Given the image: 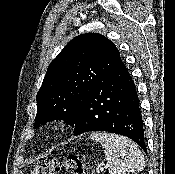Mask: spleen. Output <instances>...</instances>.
I'll return each instance as SVG.
<instances>
[{
    "mask_svg": "<svg viewBox=\"0 0 175 174\" xmlns=\"http://www.w3.org/2000/svg\"><path fill=\"white\" fill-rule=\"evenodd\" d=\"M91 139L100 142L110 174L140 172L145 167L144 157L137 145L130 139L111 133H92Z\"/></svg>",
    "mask_w": 175,
    "mask_h": 174,
    "instance_id": "3e777b00",
    "label": "spleen"
}]
</instances>
